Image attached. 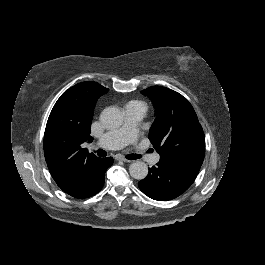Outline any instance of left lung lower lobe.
Wrapping results in <instances>:
<instances>
[{
  "label": "left lung lower lobe",
  "mask_w": 265,
  "mask_h": 265,
  "mask_svg": "<svg viewBox=\"0 0 265 265\" xmlns=\"http://www.w3.org/2000/svg\"><path fill=\"white\" fill-rule=\"evenodd\" d=\"M199 170L200 167L194 165L159 161L138 185L144 194L154 200H172L191 186Z\"/></svg>",
  "instance_id": "1"
}]
</instances>
